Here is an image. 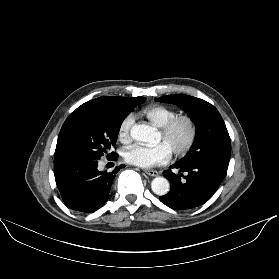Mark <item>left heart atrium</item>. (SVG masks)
Segmentation results:
<instances>
[{"mask_svg": "<svg viewBox=\"0 0 279 279\" xmlns=\"http://www.w3.org/2000/svg\"><path fill=\"white\" fill-rule=\"evenodd\" d=\"M170 156L171 151L163 142L153 146L135 144L125 153L127 162L142 168L164 164L170 159Z\"/></svg>", "mask_w": 279, "mask_h": 279, "instance_id": "left-heart-atrium-1", "label": "left heart atrium"}]
</instances>
